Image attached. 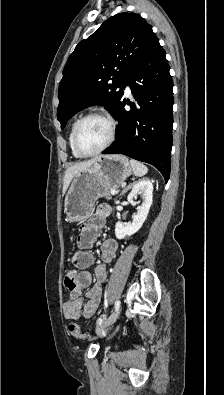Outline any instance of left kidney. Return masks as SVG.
<instances>
[{
	"instance_id": "obj_1",
	"label": "left kidney",
	"mask_w": 224,
	"mask_h": 395,
	"mask_svg": "<svg viewBox=\"0 0 224 395\" xmlns=\"http://www.w3.org/2000/svg\"><path fill=\"white\" fill-rule=\"evenodd\" d=\"M137 194H141L143 202L137 207V213L132 217V222L122 224L117 222L115 225V235L117 239H123L125 236H131L135 234L145 222L153 198V184L149 179H142L134 184L131 192L129 193L127 200L128 202L135 206L136 202L134 199Z\"/></svg>"
}]
</instances>
